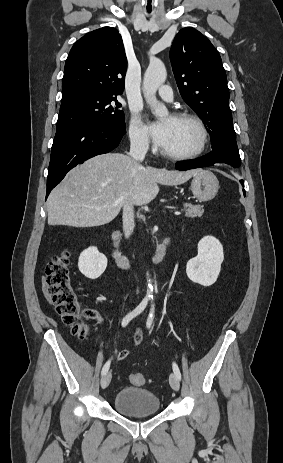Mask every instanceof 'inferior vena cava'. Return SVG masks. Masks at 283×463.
Wrapping results in <instances>:
<instances>
[{
  "instance_id": "obj_1",
  "label": "inferior vena cava",
  "mask_w": 283,
  "mask_h": 463,
  "mask_svg": "<svg viewBox=\"0 0 283 463\" xmlns=\"http://www.w3.org/2000/svg\"><path fill=\"white\" fill-rule=\"evenodd\" d=\"M148 150V141L143 137H135L131 139L129 155L136 162H142ZM134 210L131 199H127L123 206V231L126 238L132 234L134 230Z\"/></svg>"
}]
</instances>
